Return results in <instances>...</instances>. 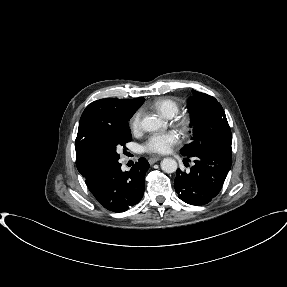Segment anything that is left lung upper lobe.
<instances>
[{"mask_svg":"<svg viewBox=\"0 0 287 287\" xmlns=\"http://www.w3.org/2000/svg\"><path fill=\"white\" fill-rule=\"evenodd\" d=\"M193 95L188 100L193 137L180 153L192 157L210 148L231 146V131L221 104L205 93L193 90Z\"/></svg>","mask_w":287,"mask_h":287,"instance_id":"5c2ea615","label":"left lung upper lobe"}]
</instances>
